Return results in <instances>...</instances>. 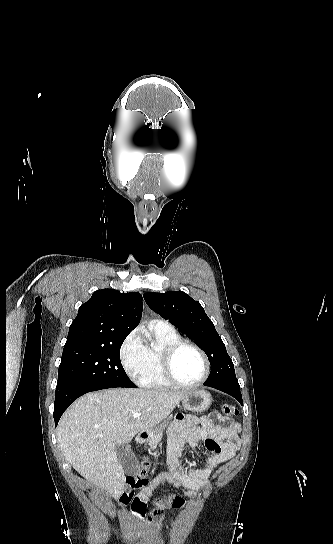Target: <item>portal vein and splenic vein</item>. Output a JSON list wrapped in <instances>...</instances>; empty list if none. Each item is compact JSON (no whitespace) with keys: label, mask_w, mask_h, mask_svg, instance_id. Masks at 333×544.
I'll return each mask as SVG.
<instances>
[{"label":"portal vein and splenic vein","mask_w":333,"mask_h":544,"mask_svg":"<svg viewBox=\"0 0 333 544\" xmlns=\"http://www.w3.org/2000/svg\"><path fill=\"white\" fill-rule=\"evenodd\" d=\"M141 416V413H134L132 415V418L135 419V418H139Z\"/></svg>","instance_id":"portal-vein-and-splenic-vein-1"}]
</instances>
